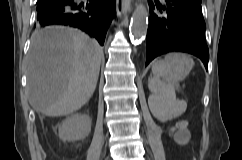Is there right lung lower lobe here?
<instances>
[{
    "label": "right lung lower lobe",
    "instance_id": "right-lung-lower-lobe-1",
    "mask_svg": "<svg viewBox=\"0 0 242 160\" xmlns=\"http://www.w3.org/2000/svg\"><path fill=\"white\" fill-rule=\"evenodd\" d=\"M116 0H39L37 20L42 26L65 25L78 28L101 45L115 15Z\"/></svg>",
    "mask_w": 242,
    "mask_h": 160
}]
</instances>
